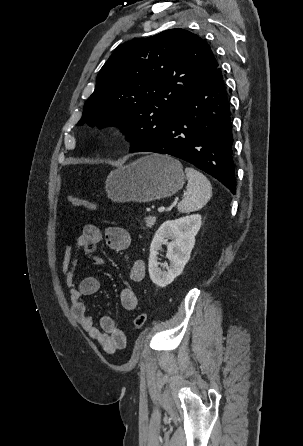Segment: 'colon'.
Wrapping results in <instances>:
<instances>
[{
	"label": "colon",
	"instance_id": "5ec220e1",
	"mask_svg": "<svg viewBox=\"0 0 303 446\" xmlns=\"http://www.w3.org/2000/svg\"><path fill=\"white\" fill-rule=\"evenodd\" d=\"M68 202L70 205H72L74 207L85 209L87 211H96L97 210V207L94 204L83 200L82 198H80L77 195H73V194L69 195ZM146 320H147V315L145 313L138 314L133 321L134 329H136V330L141 329L145 325Z\"/></svg>",
	"mask_w": 303,
	"mask_h": 446
}]
</instances>
